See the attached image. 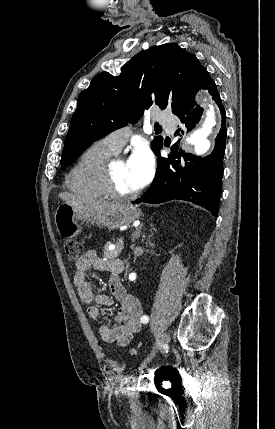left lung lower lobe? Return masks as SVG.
Returning a JSON list of instances; mask_svg holds the SVG:
<instances>
[{
  "label": "left lung lower lobe",
  "mask_w": 275,
  "mask_h": 429,
  "mask_svg": "<svg viewBox=\"0 0 275 429\" xmlns=\"http://www.w3.org/2000/svg\"><path fill=\"white\" fill-rule=\"evenodd\" d=\"M199 89L209 90L222 115V127L215 139L214 150L206 157H199L181 150L178 151V147H175L172 148L167 158L159 156L157 172L151 187L142 198L134 203L157 204L180 199L204 207L210 210L213 216H217L227 132L226 116L215 82L205 68L199 73L194 95ZM194 95L175 114L181 120L177 133L190 131L199 122L203 109L196 105Z\"/></svg>",
  "instance_id": "1"
}]
</instances>
